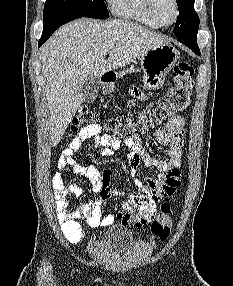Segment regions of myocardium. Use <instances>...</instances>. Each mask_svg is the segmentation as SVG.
Returning a JSON list of instances; mask_svg holds the SVG:
<instances>
[{
  "mask_svg": "<svg viewBox=\"0 0 233 286\" xmlns=\"http://www.w3.org/2000/svg\"><path fill=\"white\" fill-rule=\"evenodd\" d=\"M145 1H146V7H147L148 14L159 27H169L177 22L179 15H180V7H179L178 0H172L174 7H175V16H174V19L168 24L161 23L157 19L155 10H154L155 0H145Z\"/></svg>",
  "mask_w": 233,
  "mask_h": 286,
  "instance_id": "f54148a6",
  "label": "myocardium"
}]
</instances>
